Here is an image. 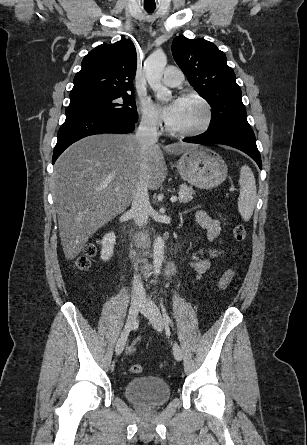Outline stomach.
<instances>
[{"label": "stomach", "instance_id": "stomach-1", "mask_svg": "<svg viewBox=\"0 0 307 445\" xmlns=\"http://www.w3.org/2000/svg\"><path fill=\"white\" fill-rule=\"evenodd\" d=\"M179 174L198 188L219 186L227 176V164L222 156L207 146L189 148L177 162Z\"/></svg>", "mask_w": 307, "mask_h": 445}]
</instances>
